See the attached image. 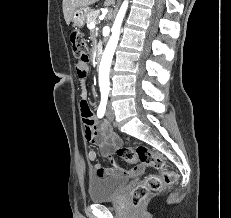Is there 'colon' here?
Instances as JSON below:
<instances>
[{
    "label": "colon",
    "instance_id": "obj_1",
    "mask_svg": "<svg viewBox=\"0 0 231 218\" xmlns=\"http://www.w3.org/2000/svg\"><path fill=\"white\" fill-rule=\"evenodd\" d=\"M72 53L78 59L89 56V47L80 30H73L70 33ZM116 153L123 160L130 163L140 162L143 165L159 170L158 173L148 175L145 180L135 186L132 191V204L137 206L144 201L151 192H156L165 186L171 185L177 180V173L166 167L164 160L146 146L136 147L120 145Z\"/></svg>",
    "mask_w": 231,
    "mask_h": 218
}]
</instances>
